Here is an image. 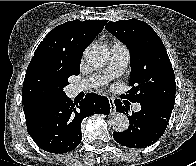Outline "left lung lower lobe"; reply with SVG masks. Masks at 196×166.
Masks as SVG:
<instances>
[{"label": "left lung lower lobe", "mask_w": 196, "mask_h": 166, "mask_svg": "<svg viewBox=\"0 0 196 166\" xmlns=\"http://www.w3.org/2000/svg\"><path fill=\"white\" fill-rule=\"evenodd\" d=\"M141 110L128 117L129 127L123 132H113L116 142L129 148H144L156 142L165 132L172 108L156 102H141ZM129 107L116 104V111L126 114Z\"/></svg>", "instance_id": "left-lung-lower-lobe-1"}]
</instances>
